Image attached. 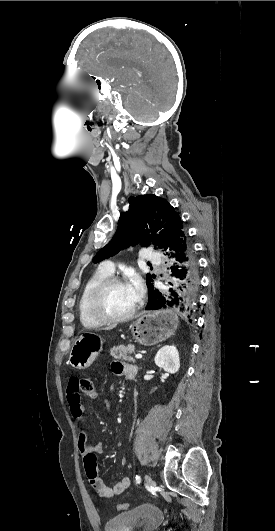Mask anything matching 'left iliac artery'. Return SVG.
Segmentation results:
<instances>
[{
	"mask_svg": "<svg viewBox=\"0 0 275 531\" xmlns=\"http://www.w3.org/2000/svg\"><path fill=\"white\" fill-rule=\"evenodd\" d=\"M141 482V477L139 475L136 476V483L139 484Z\"/></svg>",
	"mask_w": 275,
	"mask_h": 531,
	"instance_id": "44dca946",
	"label": "left iliac artery"
}]
</instances>
